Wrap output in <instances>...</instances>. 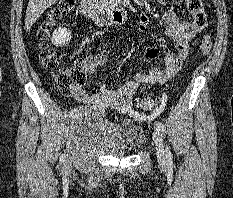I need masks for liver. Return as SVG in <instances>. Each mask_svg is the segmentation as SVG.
<instances>
[{"mask_svg": "<svg viewBox=\"0 0 233 198\" xmlns=\"http://www.w3.org/2000/svg\"><path fill=\"white\" fill-rule=\"evenodd\" d=\"M57 1L58 0H29L25 17L26 30H30L41 14Z\"/></svg>", "mask_w": 233, "mask_h": 198, "instance_id": "liver-1", "label": "liver"}]
</instances>
